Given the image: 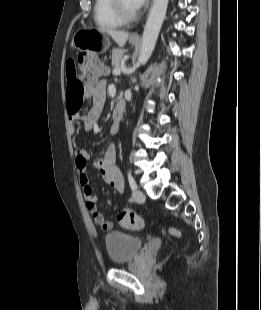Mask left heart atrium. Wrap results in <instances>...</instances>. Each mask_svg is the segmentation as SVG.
<instances>
[{"instance_id":"left-heart-atrium-1","label":"left heart atrium","mask_w":261,"mask_h":310,"mask_svg":"<svg viewBox=\"0 0 261 310\" xmlns=\"http://www.w3.org/2000/svg\"><path fill=\"white\" fill-rule=\"evenodd\" d=\"M133 6L135 7L136 10L140 9L145 5L147 0H131Z\"/></svg>"}]
</instances>
